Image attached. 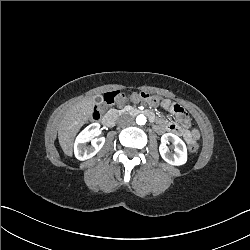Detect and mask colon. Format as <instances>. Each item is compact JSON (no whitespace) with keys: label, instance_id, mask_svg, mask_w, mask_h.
<instances>
[{"label":"colon","instance_id":"colon-1","mask_svg":"<svg viewBox=\"0 0 250 250\" xmlns=\"http://www.w3.org/2000/svg\"><path fill=\"white\" fill-rule=\"evenodd\" d=\"M137 98L139 100L150 101L154 103L158 102V100L155 97H151L148 93H145V92L137 93ZM125 99H126V94L119 90L105 93L102 98L101 104L94 106L92 109L93 121L97 122L100 119L103 110L106 109L107 106L112 105L117 102L121 103ZM173 112L176 114V116L179 118V120L183 124L188 123L187 115L184 114V110L180 106L175 105ZM198 150H199V147L197 146L196 143H191L190 146L187 148V151L190 154L196 153Z\"/></svg>","mask_w":250,"mask_h":250}]
</instances>
